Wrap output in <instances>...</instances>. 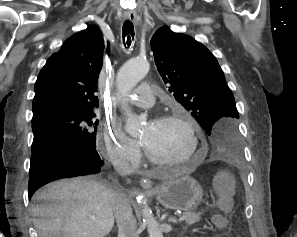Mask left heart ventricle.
<instances>
[{
    "instance_id": "1",
    "label": "left heart ventricle",
    "mask_w": 297,
    "mask_h": 237,
    "mask_svg": "<svg viewBox=\"0 0 297 237\" xmlns=\"http://www.w3.org/2000/svg\"><path fill=\"white\" fill-rule=\"evenodd\" d=\"M144 146L157 158L177 160L185 157L191 149L186 129L178 123L155 122L148 132L147 126L141 134Z\"/></svg>"
}]
</instances>
